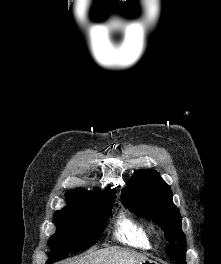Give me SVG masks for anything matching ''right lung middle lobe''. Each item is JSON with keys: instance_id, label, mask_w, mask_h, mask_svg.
Listing matches in <instances>:
<instances>
[{"instance_id": "obj_1", "label": "right lung middle lobe", "mask_w": 221, "mask_h": 264, "mask_svg": "<svg viewBox=\"0 0 221 264\" xmlns=\"http://www.w3.org/2000/svg\"><path fill=\"white\" fill-rule=\"evenodd\" d=\"M115 198L94 201L81 209L64 208L54 213L56 233L49 246L55 249L46 264L67 258L68 253L93 245L103 233L111 215Z\"/></svg>"}]
</instances>
